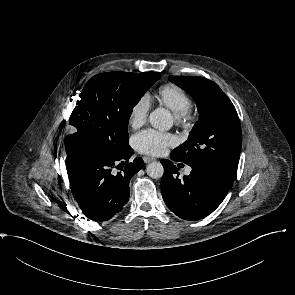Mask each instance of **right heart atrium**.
I'll return each instance as SVG.
<instances>
[{"mask_svg":"<svg viewBox=\"0 0 295 295\" xmlns=\"http://www.w3.org/2000/svg\"><path fill=\"white\" fill-rule=\"evenodd\" d=\"M150 107V98L146 94L141 95L131 105L128 115V122L133 129H138L146 123Z\"/></svg>","mask_w":295,"mask_h":295,"instance_id":"right-heart-atrium-1","label":"right heart atrium"}]
</instances>
